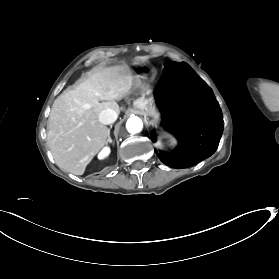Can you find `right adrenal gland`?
I'll return each instance as SVG.
<instances>
[{
  "label": "right adrenal gland",
  "mask_w": 279,
  "mask_h": 279,
  "mask_svg": "<svg viewBox=\"0 0 279 279\" xmlns=\"http://www.w3.org/2000/svg\"><path fill=\"white\" fill-rule=\"evenodd\" d=\"M108 143H109V144H112V140H111V138H110V130H108Z\"/></svg>",
  "instance_id": "2a0ac1e0"
}]
</instances>
